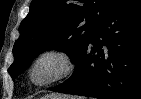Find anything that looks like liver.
I'll use <instances>...</instances> for the list:
<instances>
[{"label": "liver", "mask_w": 141, "mask_h": 99, "mask_svg": "<svg viewBox=\"0 0 141 99\" xmlns=\"http://www.w3.org/2000/svg\"><path fill=\"white\" fill-rule=\"evenodd\" d=\"M46 99H66L64 95L60 94H52L50 96H47Z\"/></svg>", "instance_id": "liver-1"}]
</instances>
